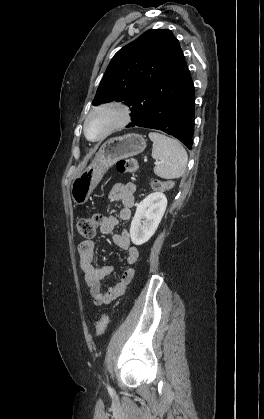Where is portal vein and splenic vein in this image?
<instances>
[{"instance_id": "1", "label": "portal vein and splenic vein", "mask_w": 264, "mask_h": 419, "mask_svg": "<svg viewBox=\"0 0 264 419\" xmlns=\"http://www.w3.org/2000/svg\"><path fill=\"white\" fill-rule=\"evenodd\" d=\"M144 161L146 162V161H147V158H144ZM155 164L157 165V164H158V162H155Z\"/></svg>"}]
</instances>
